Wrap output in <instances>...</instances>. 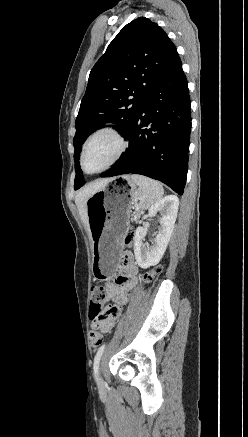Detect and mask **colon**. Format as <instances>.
Returning a JSON list of instances; mask_svg holds the SVG:
<instances>
[{"instance_id": "obj_1", "label": "colon", "mask_w": 248, "mask_h": 437, "mask_svg": "<svg viewBox=\"0 0 248 437\" xmlns=\"http://www.w3.org/2000/svg\"><path fill=\"white\" fill-rule=\"evenodd\" d=\"M132 241V235L128 234L125 237V244L129 245ZM161 272V267H156L144 275L147 282H150L157 274ZM106 291L102 286H95L91 291V304L89 310V318L92 323V329L90 331V342L92 346H99L104 335L99 330V322L106 316V314L112 312L111 306H105Z\"/></svg>"}]
</instances>
